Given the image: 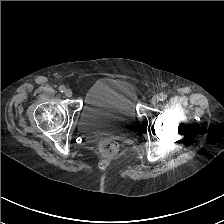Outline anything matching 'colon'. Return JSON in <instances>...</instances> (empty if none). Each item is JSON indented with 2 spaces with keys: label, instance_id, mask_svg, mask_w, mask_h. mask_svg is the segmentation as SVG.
<instances>
[{
  "label": "colon",
  "instance_id": "colon-1",
  "mask_svg": "<svg viewBox=\"0 0 224 224\" xmlns=\"http://www.w3.org/2000/svg\"><path fill=\"white\" fill-rule=\"evenodd\" d=\"M100 148L103 153H105L107 155H112L117 152L118 145L114 141H104L101 143Z\"/></svg>",
  "mask_w": 224,
  "mask_h": 224
}]
</instances>
